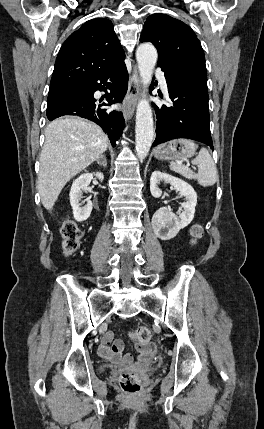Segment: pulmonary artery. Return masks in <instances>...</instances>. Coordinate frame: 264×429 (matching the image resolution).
Returning a JSON list of instances; mask_svg holds the SVG:
<instances>
[{"label":"pulmonary artery","mask_w":264,"mask_h":429,"mask_svg":"<svg viewBox=\"0 0 264 429\" xmlns=\"http://www.w3.org/2000/svg\"><path fill=\"white\" fill-rule=\"evenodd\" d=\"M156 76H157V78H158V80H159V83H160L161 88H162L164 91H167V83H166V79H165V77H164V74H163L161 71L157 70V71H156Z\"/></svg>","instance_id":"obj_1"}]
</instances>
